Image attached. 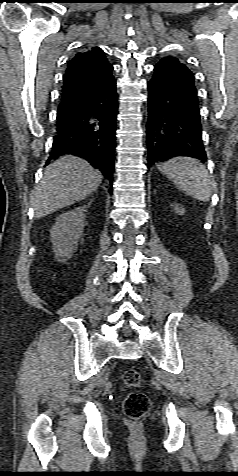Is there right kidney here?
<instances>
[{
  "instance_id": "ca27d5eb",
  "label": "right kidney",
  "mask_w": 238,
  "mask_h": 476,
  "mask_svg": "<svg viewBox=\"0 0 238 476\" xmlns=\"http://www.w3.org/2000/svg\"><path fill=\"white\" fill-rule=\"evenodd\" d=\"M86 207H78L60 215L50 230L53 252L56 257L68 259L76 250L78 239L85 226Z\"/></svg>"
}]
</instances>
